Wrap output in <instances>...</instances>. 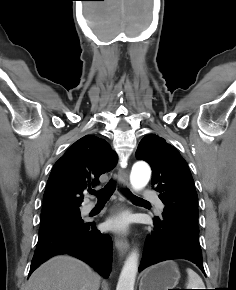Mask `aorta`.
Instances as JSON below:
<instances>
[{
    "label": "aorta",
    "instance_id": "aorta-1",
    "mask_svg": "<svg viewBox=\"0 0 236 290\" xmlns=\"http://www.w3.org/2000/svg\"><path fill=\"white\" fill-rule=\"evenodd\" d=\"M151 176L150 167L143 162L136 163L130 174V183L134 190L143 189ZM138 271V253L133 250L126 259L119 276L116 290H134L135 279Z\"/></svg>",
    "mask_w": 236,
    "mask_h": 290
}]
</instances>
